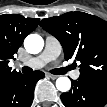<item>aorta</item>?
Returning a JSON list of instances; mask_svg holds the SVG:
<instances>
[{
	"label": "aorta",
	"mask_w": 107,
	"mask_h": 107,
	"mask_svg": "<svg viewBox=\"0 0 107 107\" xmlns=\"http://www.w3.org/2000/svg\"><path fill=\"white\" fill-rule=\"evenodd\" d=\"M24 47L28 53L38 54L44 47V40L38 34H30L24 40ZM56 88L61 92H68L71 88L70 79L64 76L57 78Z\"/></svg>",
	"instance_id": "1"
}]
</instances>
